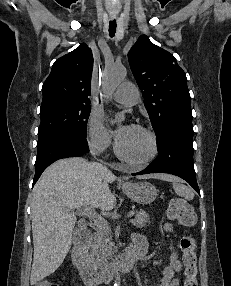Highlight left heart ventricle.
<instances>
[{
	"label": "left heart ventricle",
	"instance_id": "left-heart-ventricle-1",
	"mask_svg": "<svg viewBox=\"0 0 231 286\" xmlns=\"http://www.w3.org/2000/svg\"><path fill=\"white\" fill-rule=\"evenodd\" d=\"M122 152L133 160H142L151 152V140L140 129L131 126L127 134L118 141Z\"/></svg>",
	"mask_w": 231,
	"mask_h": 286
}]
</instances>
